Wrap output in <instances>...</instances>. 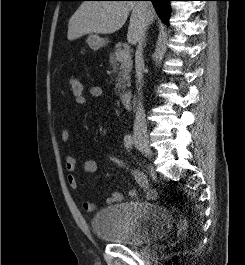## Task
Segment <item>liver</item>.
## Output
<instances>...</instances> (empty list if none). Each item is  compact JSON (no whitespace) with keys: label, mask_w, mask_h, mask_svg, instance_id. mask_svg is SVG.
I'll list each match as a JSON object with an SVG mask.
<instances>
[{"label":"liver","mask_w":245,"mask_h":265,"mask_svg":"<svg viewBox=\"0 0 245 265\" xmlns=\"http://www.w3.org/2000/svg\"><path fill=\"white\" fill-rule=\"evenodd\" d=\"M138 4L131 1H84L69 20L68 40L86 34L115 33L123 27L132 11L127 40L130 44H136L142 25V13ZM154 14L152 7V19Z\"/></svg>","instance_id":"6515ba94"}]
</instances>
